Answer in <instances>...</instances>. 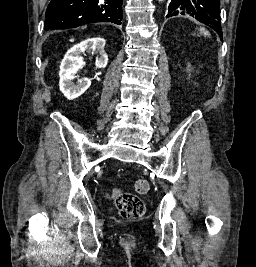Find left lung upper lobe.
<instances>
[{
    "label": "left lung upper lobe",
    "mask_w": 256,
    "mask_h": 267,
    "mask_svg": "<svg viewBox=\"0 0 256 267\" xmlns=\"http://www.w3.org/2000/svg\"><path fill=\"white\" fill-rule=\"evenodd\" d=\"M220 0H171L167 18L188 15L214 29L222 39Z\"/></svg>",
    "instance_id": "obj_1"
}]
</instances>
